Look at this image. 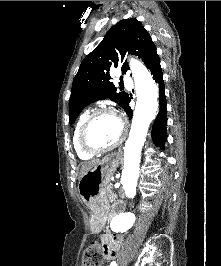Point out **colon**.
Listing matches in <instances>:
<instances>
[{"label":"colon","mask_w":221,"mask_h":266,"mask_svg":"<svg viewBox=\"0 0 221 266\" xmlns=\"http://www.w3.org/2000/svg\"><path fill=\"white\" fill-rule=\"evenodd\" d=\"M101 263L100 245L94 242L85 249L82 256V266H100Z\"/></svg>","instance_id":"obj_1"}]
</instances>
